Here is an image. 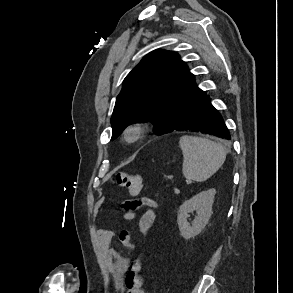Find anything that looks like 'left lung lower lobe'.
Listing matches in <instances>:
<instances>
[{"mask_svg": "<svg viewBox=\"0 0 293 293\" xmlns=\"http://www.w3.org/2000/svg\"><path fill=\"white\" fill-rule=\"evenodd\" d=\"M173 131H198L231 139L222 116L205 93L187 105Z\"/></svg>", "mask_w": 293, "mask_h": 293, "instance_id": "left-lung-lower-lobe-1", "label": "left lung lower lobe"}]
</instances>
